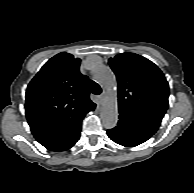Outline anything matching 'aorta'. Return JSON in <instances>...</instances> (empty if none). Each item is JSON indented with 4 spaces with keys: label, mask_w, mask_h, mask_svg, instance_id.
<instances>
[{
    "label": "aorta",
    "mask_w": 194,
    "mask_h": 193,
    "mask_svg": "<svg viewBox=\"0 0 194 193\" xmlns=\"http://www.w3.org/2000/svg\"><path fill=\"white\" fill-rule=\"evenodd\" d=\"M94 79L108 92L110 97L105 101L101 109V120L105 128H113L118 120V107L115 98L116 78L110 68L94 64L92 67Z\"/></svg>",
    "instance_id": "obj_1"
}]
</instances>
